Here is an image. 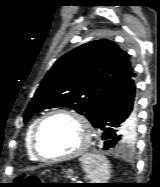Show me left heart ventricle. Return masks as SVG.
Here are the masks:
<instances>
[{"label": "left heart ventricle", "mask_w": 160, "mask_h": 187, "mask_svg": "<svg viewBox=\"0 0 160 187\" xmlns=\"http://www.w3.org/2000/svg\"><path fill=\"white\" fill-rule=\"evenodd\" d=\"M83 139L84 130L77 119L68 115H57L43 125L38 145L43 155L55 157L77 149Z\"/></svg>", "instance_id": "b2bd125f"}]
</instances>
